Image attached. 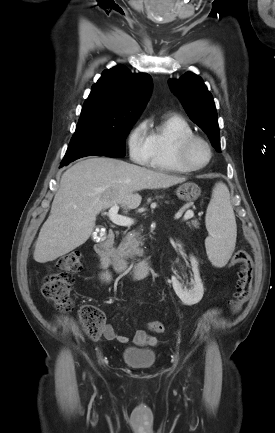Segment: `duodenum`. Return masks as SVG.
<instances>
[{"instance_id": "obj_1", "label": "duodenum", "mask_w": 275, "mask_h": 433, "mask_svg": "<svg viewBox=\"0 0 275 433\" xmlns=\"http://www.w3.org/2000/svg\"><path fill=\"white\" fill-rule=\"evenodd\" d=\"M115 232L109 230L105 239H97L96 252L111 264L118 274L128 275L134 279H141L151 274L154 270L152 260H144L129 265L123 256L114 247Z\"/></svg>"}]
</instances>
